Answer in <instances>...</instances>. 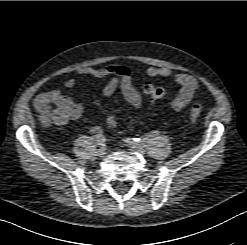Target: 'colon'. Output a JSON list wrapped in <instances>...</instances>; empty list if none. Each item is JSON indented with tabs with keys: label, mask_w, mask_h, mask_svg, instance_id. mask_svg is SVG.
I'll list each match as a JSON object with an SVG mask.
<instances>
[{
	"label": "colon",
	"mask_w": 247,
	"mask_h": 245,
	"mask_svg": "<svg viewBox=\"0 0 247 245\" xmlns=\"http://www.w3.org/2000/svg\"><path fill=\"white\" fill-rule=\"evenodd\" d=\"M144 93L151 99H162L166 96V90L160 86H156L151 83H146L143 86ZM37 110L40 114L41 119L46 123L64 124L68 121L71 104L61 94L49 92L42 96L37 103ZM201 116V106L198 103L193 104L190 117L192 121H197ZM106 122L109 127L116 128L117 117L110 113Z\"/></svg>",
	"instance_id": "5ec220e1"
}]
</instances>
